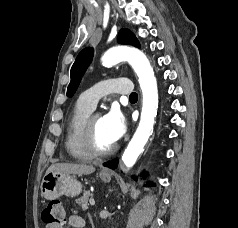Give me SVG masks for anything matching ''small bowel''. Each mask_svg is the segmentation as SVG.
Segmentation results:
<instances>
[{"mask_svg":"<svg viewBox=\"0 0 238 228\" xmlns=\"http://www.w3.org/2000/svg\"><path fill=\"white\" fill-rule=\"evenodd\" d=\"M69 226L71 228H84L85 227V220L79 214H73L68 219ZM45 228H64L63 224H52L46 225Z\"/></svg>","mask_w":238,"mask_h":228,"instance_id":"c3829d8e","label":"small bowel"}]
</instances>
